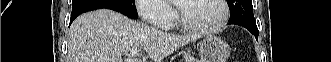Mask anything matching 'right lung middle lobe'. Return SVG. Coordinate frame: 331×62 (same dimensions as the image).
<instances>
[{
  "label": "right lung middle lobe",
  "instance_id": "obj_1",
  "mask_svg": "<svg viewBox=\"0 0 331 62\" xmlns=\"http://www.w3.org/2000/svg\"><path fill=\"white\" fill-rule=\"evenodd\" d=\"M101 8L120 12L132 19L138 17L135 0H73L71 14L83 13Z\"/></svg>",
  "mask_w": 331,
  "mask_h": 62
}]
</instances>
